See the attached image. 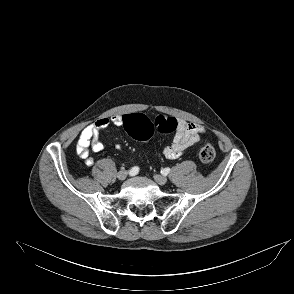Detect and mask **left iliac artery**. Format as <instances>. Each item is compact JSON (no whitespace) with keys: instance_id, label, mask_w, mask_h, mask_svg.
<instances>
[{"instance_id":"44dca946","label":"left iliac artery","mask_w":294,"mask_h":294,"mask_svg":"<svg viewBox=\"0 0 294 294\" xmlns=\"http://www.w3.org/2000/svg\"><path fill=\"white\" fill-rule=\"evenodd\" d=\"M169 172H170V168H165V169H162V170H161V173H162L163 175H167Z\"/></svg>"}]
</instances>
